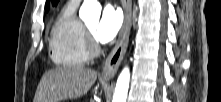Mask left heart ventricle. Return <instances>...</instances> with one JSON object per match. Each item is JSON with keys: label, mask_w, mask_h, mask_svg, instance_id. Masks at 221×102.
<instances>
[{"label": "left heart ventricle", "mask_w": 221, "mask_h": 102, "mask_svg": "<svg viewBox=\"0 0 221 102\" xmlns=\"http://www.w3.org/2000/svg\"><path fill=\"white\" fill-rule=\"evenodd\" d=\"M88 28H89L91 31H93L94 28H95V24H89V25H88Z\"/></svg>", "instance_id": "left-heart-ventricle-1"}]
</instances>
